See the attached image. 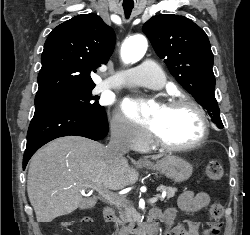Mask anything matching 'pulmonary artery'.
<instances>
[{
	"label": "pulmonary artery",
	"mask_w": 250,
	"mask_h": 235,
	"mask_svg": "<svg viewBox=\"0 0 250 235\" xmlns=\"http://www.w3.org/2000/svg\"><path fill=\"white\" fill-rule=\"evenodd\" d=\"M132 73V75H131ZM165 83V75L152 61H146L128 73H117L103 82L109 88L127 85H138L150 89H161Z\"/></svg>",
	"instance_id": "obj_1"
}]
</instances>
